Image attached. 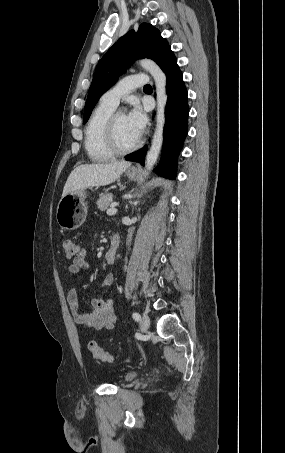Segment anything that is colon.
Instances as JSON below:
<instances>
[{
    "label": "colon",
    "mask_w": 285,
    "mask_h": 453,
    "mask_svg": "<svg viewBox=\"0 0 285 453\" xmlns=\"http://www.w3.org/2000/svg\"><path fill=\"white\" fill-rule=\"evenodd\" d=\"M62 249L67 260H75L81 252L79 244L72 238H66L62 242ZM88 350L91 355L102 362L111 363L113 356L100 347L96 342L91 341L88 344Z\"/></svg>",
    "instance_id": "obj_1"
}]
</instances>
